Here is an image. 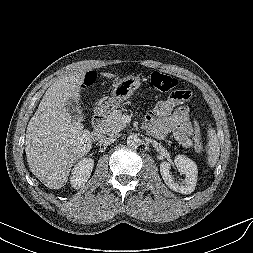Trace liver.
I'll list each match as a JSON object with an SVG mask.
<instances>
[{
	"instance_id": "1",
	"label": "liver",
	"mask_w": 253,
	"mask_h": 253,
	"mask_svg": "<svg viewBox=\"0 0 253 253\" xmlns=\"http://www.w3.org/2000/svg\"><path fill=\"white\" fill-rule=\"evenodd\" d=\"M85 72L79 68L55 81L27 125L25 153L30 171L50 189L65 186L72 166L92 148V133L72 120L65 105L67 100H81Z\"/></svg>"
}]
</instances>
